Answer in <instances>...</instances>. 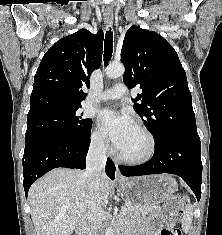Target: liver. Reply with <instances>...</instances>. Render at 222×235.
Segmentation results:
<instances>
[{"label": "liver", "mask_w": 222, "mask_h": 235, "mask_svg": "<svg viewBox=\"0 0 222 235\" xmlns=\"http://www.w3.org/2000/svg\"><path fill=\"white\" fill-rule=\"evenodd\" d=\"M111 188L103 174L98 190L101 202ZM28 198L37 235H71L89 216V189L81 170L53 169L30 187Z\"/></svg>", "instance_id": "liver-1"}]
</instances>
